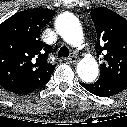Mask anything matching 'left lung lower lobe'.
I'll use <instances>...</instances> for the list:
<instances>
[{"mask_svg": "<svg viewBox=\"0 0 127 127\" xmlns=\"http://www.w3.org/2000/svg\"><path fill=\"white\" fill-rule=\"evenodd\" d=\"M83 87L94 95L109 97L123 91L127 86L114 79L100 76L97 82L93 84H83Z\"/></svg>", "mask_w": 127, "mask_h": 127, "instance_id": "obj_1", "label": "left lung lower lobe"}]
</instances>
